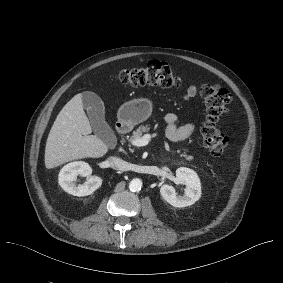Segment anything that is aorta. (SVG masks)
<instances>
[{
  "mask_svg": "<svg viewBox=\"0 0 283 283\" xmlns=\"http://www.w3.org/2000/svg\"><path fill=\"white\" fill-rule=\"evenodd\" d=\"M141 187H142V181L138 178L131 180L129 183V189L132 192L141 190Z\"/></svg>",
  "mask_w": 283,
  "mask_h": 283,
  "instance_id": "obj_1",
  "label": "aorta"
}]
</instances>
